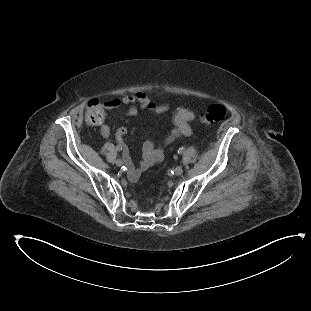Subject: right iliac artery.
Segmentation results:
<instances>
[{"mask_svg":"<svg viewBox=\"0 0 311 311\" xmlns=\"http://www.w3.org/2000/svg\"><path fill=\"white\" fill-rule=\"evenodd\" d=\"M116 149H117L118 151H121V150L123 149V147H122V145L118 144V145L116 146Z\"/></svg>","mask_w":311,"mask_h":311,"instance_id":"right-iliac-artery-1","label":"right iliac artery"}]
</instances>
